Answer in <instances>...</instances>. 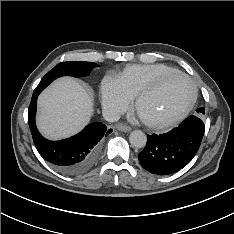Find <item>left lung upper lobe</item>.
Segmentation results:
<instances>
[{
  "label": "left lung upper lobe",
  "instance_id": "obj_1",
  "mask_svg": "<svg viewBox=\"0 0 234 234\" xmlns=\"http://www.w3.org/2000/svg\"><path fill=\"white\" fill-rule=\"evenodd\" d=\"M196 111H197L196 115L199 117H202V115L205 113L204 108H198Z\"/></svg>",
  "mask_w": 234,
  "mask_h": 234
}]
</instances>
